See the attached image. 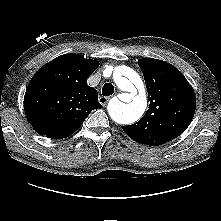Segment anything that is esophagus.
<instances>
[{
    "label": "esophagus",
    "mask_w": 221,
    "mask_h": 221,
    "mask_svg": "<svg viewBox=\"0 0 221 221\" xmlns=\"http://www.w3.org/2000/svg\"><path fill=\"white\" fill-rule=\"evenodd\" d=\"M109 99H110V97L100 96L99 102L101 103V105L105 106L106 103L109 101Z\"/></svg>",
    "instance_id": "esophagus-1"
}]
</instances>
